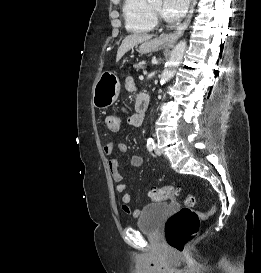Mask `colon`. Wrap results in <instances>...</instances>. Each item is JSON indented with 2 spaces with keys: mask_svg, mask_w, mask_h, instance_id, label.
<instances>
[{
  "mask_svg": "<svg viewBox=\"0 0 261 273\" xmlns=\"http://www.w3.org/2000/svg\"><path fill=\"white\" fill-rule=\"evenodd\" d=\"M121 118L119 115H108L105 118V126L112 131L120 127ZM180 189L174 185H167L153 189L149 192L150 198L155 202H161L173 198ZM196 199L193 195H187L185 207L179 209L168 219L165 226V239L168 245L176 252H182L186 246L196 237L203 218L215 213L216 206L211 205L205 213H199L192 209Z\"/></svg>",
  "mask_w": 261,
  "mask_h": 273,
  "instance_id": "obj_1",
  "label": "colon"
}]
</instances>
